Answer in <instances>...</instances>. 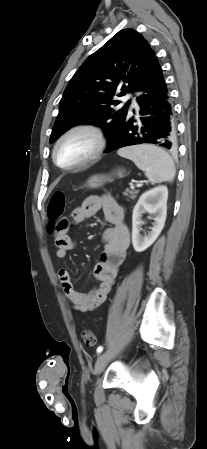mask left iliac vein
Wrapping results in <instances>:
<instances>
[{
  "label": "left iliac vein",
  "instance_id": "1",
  "mask_svg": "<svg viewBox=\"0 0 207 449\" xmlns=\"http://www.w3.org/2000/svg\"><path fill=\"white\" fill-rule=\"evenodd\" d=\"M112 352L111 351H105L102 354L99 355L97 358V361L95 363L94 373L100 374L105 367L107 366L110 358H111Z\"/></svg>",
  "mask_w": 207,
  "mask_h": 449
}]
</instances>
